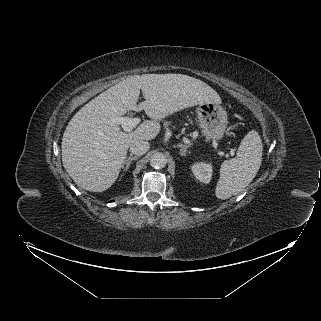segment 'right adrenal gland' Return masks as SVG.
Here are the masks:
<instances>
[{"label":"right adrenal gland","mask_w":321,"mask_h":321,"mask_svg":"<svg viewBox=\"0 0 321 321\" xmlns=\"http://www.w3.org/2000/svg\"><path fill=\"white\" fill-rule=\"evenodd\" d=\"M138 158H139V156H130V157H128V158L123 162L122 168H123L125 171H127V170L129 169V166H130L131 162H132L133 160L138 159Z\"/></svg>","instance_id":"right-adrenal-gland-1"}]
</instances>
